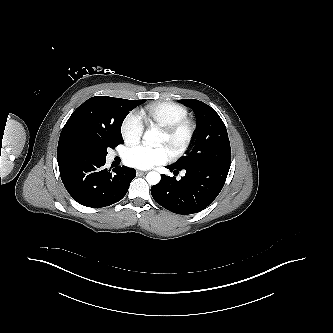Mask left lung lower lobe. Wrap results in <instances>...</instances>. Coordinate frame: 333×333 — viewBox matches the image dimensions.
Wrapping results in <instances>:
<instances>
[{
  "mask_svg": "<svg viewBox=\"0 0 333 333\" xmlns=\"http://www.w3.org/2000/svg\"><path fill=\"white\" fill-rule=\"evenodd\" d=\"M176 175L184 170L185 176L178 181L175 177L161 175V181L152 186L154 200L167 210L188 215L205 209L222 190L230 166L199 164L185 169L173 165L166 167Z\"/></svg>",
  "mask_w": 333,
  "mask_h": 333,
  "instance_id": "1",
  "label": "left lung lower lobe"
}]
</instances>
